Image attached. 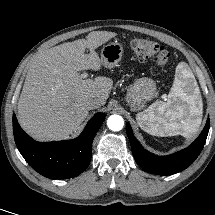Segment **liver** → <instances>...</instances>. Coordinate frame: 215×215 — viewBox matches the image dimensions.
I'll use <instances>...</instances> for the list:
<instances>
[{"label":"liver","mask_w":215,"mask_h":215,"mask_svg":"<svg viewBox=\"0 0 215 215\" xmlns=\"http://www.w3.org/2000/svg\"><path fill=\"white\" fill-rule=\"evenodd\" d=\"M116 35L93 31L86 39L38 52L30 60L17 105L18 121L29 135L38 141L67 138L88 116L89 98L106 103L112 80L103 76L82 79L78 72L98 71L102 63L95 49ZM86 48L89 54L84 53Z\"/></svg>","instance_id":"1"}]
</instances>
